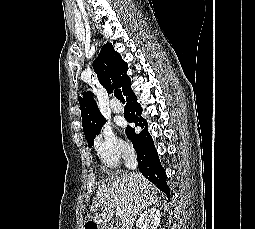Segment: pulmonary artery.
<instances>
[{"mask_svg":"<svg viewBox=\"0 0 255 229\" xmlns=\"http://www.w3.org/2000/svg\"><path fill=\"white\" fill-rule=\"evenodd\" d=\"M111 109L115 113H121L123 111V106L120 102H118L116 99H113L111 101Z\"/></svg>","mask_w":255,"mask_h":229,"instance_id":"pulmonary-artery-1","label":"pulmonary artery"}]
</instances>
